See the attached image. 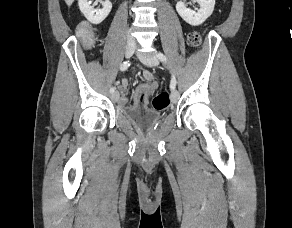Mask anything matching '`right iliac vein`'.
<instances>
[{"mask_svg":"<svg viewBox=\"0 0 292 228\" xmlns=\"http://www.w3.org/2000/svg\"><path fill=\"white\" fill-rule=\"evenodd\" d=\"M136 45L134 42H127L126 47H125V56L126 58H130L134 51H135ZM112 100L117 101L119 98V93L117 91H115L112 96H111Z\"/></svg>","mask_w":292,"mask_h":228,"instance_id":"obj_1","label":"right iliac vein"}]
</instances>
